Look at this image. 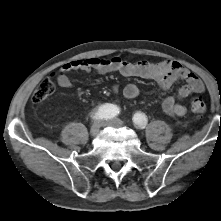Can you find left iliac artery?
<instances>
[{"label":"left iliac artery","mask_w":221,"mask_h":221,"mask_svg":"<svg viewBox=\"0 0 221 221\" xmlns=\"http://www.w3.org/2000/svg\"><path fill=\"white\" fill-rule=\"evenodd\" d=\"M133 122L137 128L144 129L147 125L148 120L145 114L137 112L133 116Z\"/></svg>","instance_id":"44dca946"}]
</instances>
